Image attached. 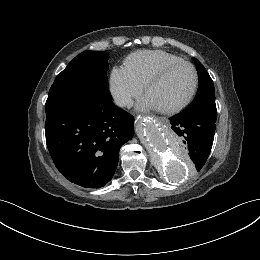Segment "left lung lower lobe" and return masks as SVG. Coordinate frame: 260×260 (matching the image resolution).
I'll list each match as a JSON object with an SVG mask.
<instances>
[{
  "mask_svg": "<svg viewBox=\"0 0 260 260\" xmlns=\"http://www.w3.org/2000/svg\"><path fill=\"white\" fill-rule=\"evenodd\" d=\"M216 108L200 107L169 118L170 127L183 142L185 150L198 172L204 166L213 144L216 128Z\"/></svg>",
  "mask_w": 260,
  "mask_h": 260,
  "instance_id": "0a47b994",
  "label": "left lung lower lobe"
}]
</instances>
